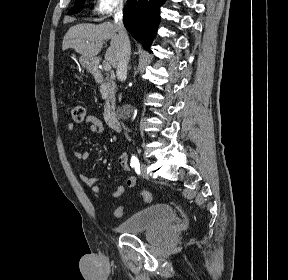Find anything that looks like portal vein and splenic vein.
I'll list each match as a JSON object with an SVG mask.
<instances>
[{
    "label": "portal vein and splenic vein",
    "instance_id": "portal-vein-and-splenic-vein-1",
    "mask_svg": "<svg viewBox=\"0 0 288 280\" xmlns=\"http://www.w3.org/2000/svg\"><path fill=\"white\" fill-rule=\"evenodd\" d=\"M105 71H110L111 70V64L109 62H106L103 66Z\"/></svg>",
    "mask_w": 288,
    "mask_h": 280
}]
</instances>
